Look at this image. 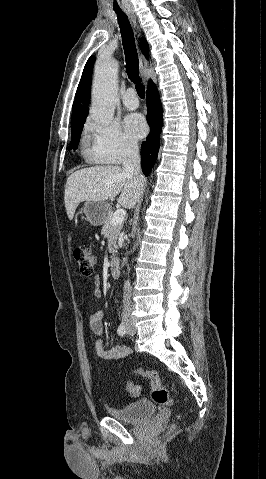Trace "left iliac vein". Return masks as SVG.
Segmentation results:
<instances>
[{
    "label": "left iliac vein",
    "instance_id": "left-iliac-vein-1",
    "mask_svg": "<svg viewBox=\"0 0 266 479\" xmlns=\"http://www.w3.org/2000/svg\"><path fill=\"white\" fill-rule=\"evenodd\" d=\"M135 331H136L135 327L133 326L132 322L130 321L128 323L127 334L133 335V334H135Z\"/></svg>",
    "mask_w": 266,
    "mask_h": 479
}]
</instances>
